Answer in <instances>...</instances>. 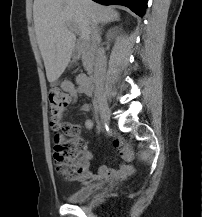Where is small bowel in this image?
I'll return each instance as SVG.
<instances>
[{
	"instance_id": "small-bowel-1",
	"label": "small bowel",
	"mask_w": 202,
	"mask_h": 217,
	"mask_svg": "<svg viewBox=\"0 0 202 217\" xmlns=\"http://www.w3.org/2000/svg\"><path fill=\"white\" fill-rule=\"evenodd\" d=\"M81 76L82 75H79L76 79L78 86H75L71 81H63L61 83V88L70 95L72 101L77 100L80 94H89L85 92V90L81 86ZM89 109H90V105L88 104L82 106V110L84 111H88ZM85 127L87 129H92L93 128L92 120L87 119L85 121ZM70 128L72 131L78 133L81 129V126L79 124H72L70 125ZM112 143L114 148L117 149L119 155L124 161L126 162L132 161L133 152L127 143H125L122 139L119 138H115ZM91 158H92L91 152L86 150L82 156V159L84 161V167H83V175L81 176V178L84 180H89V179H94L99 177L122 179L134 172V167L132 165L122 164L119 168L116 169L108 168L106 166H101L98 168L97 173H93L89 169Z\"/></svg>"
}]
</instances>
